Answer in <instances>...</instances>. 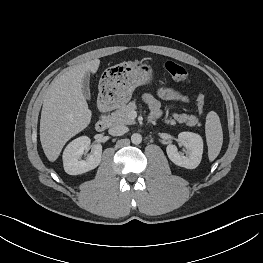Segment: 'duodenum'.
Segmentation results:
<instances>
[{
  "label": "duodenum",
  "instance_id": "410a0bca",
  "mask_svg": "<svg viewBox=\"0 0 263 263\" xmlns=\"http://www.w3.org/2000/svg\"><path fill=\"white\" fill-rule=\"evenodd\" d=\"M99 109L102 113L100 119L95 124V129L97 132H103L106 130L109 124V117H108V111L109 106L106 105L104 102H100Z\"/></svg>",
  "mask_w": 263,
  "mask_h": 263
}]
</instances>
